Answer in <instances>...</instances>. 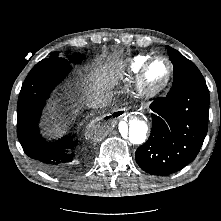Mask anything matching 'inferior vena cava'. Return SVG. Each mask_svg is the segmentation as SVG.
<instances>
[{
    "label": "inferior vena cava",
    "mask_w": 221,
    "mask_h": 221,
    "mask_svg": "<svg viewBox=\"0 0 221 221\" xmlns=\"http://www.w3.org/2000/svg\"><path fill=\"white\" fill-rule=\"evenodd\" d=\"M112 101V95L110 93H102L92 99L89 106L94 109L107 107Z\"/></svg>",
    "instance_id": "1"
}]
</instances>
